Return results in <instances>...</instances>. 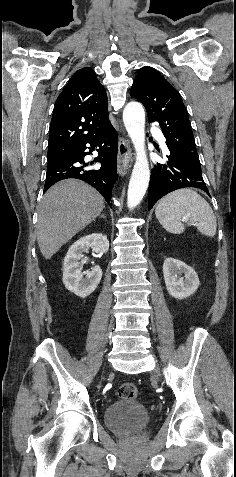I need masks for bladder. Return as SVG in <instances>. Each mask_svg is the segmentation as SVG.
Segmentation results:
<instances>
[{
    "instance_id": "obj_1",
    "label": "bladder",
    "mask_w": 236,
    "mask_h": 477,
    "mask_svg": "<svg viewBox=\"0 0 236 477\" xmlns=\"http://www.w3.org/2000/svg\"><path fill=\"white\" fill-rule=\"evenodd\" d=\"M151 421L148 409L135 399L121 398L104 409L106 427L115 434L144 430Z\"/></svg>"
}]
</instances>
